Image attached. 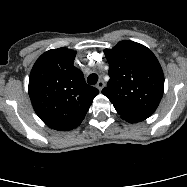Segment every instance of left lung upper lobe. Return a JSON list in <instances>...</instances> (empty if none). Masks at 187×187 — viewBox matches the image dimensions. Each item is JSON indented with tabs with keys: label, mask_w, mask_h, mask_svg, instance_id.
I'll return each mask as SVG.
<instances>
[{
	"label": "left lung upper lobe",
	"mask_w": 187,
	"mask_h": 187,
	"mask_svg": "<svg viewBox=\"0 0 187 187\" xmlns=\"http://www.w3.org/2000/svg\"><path fill=\"white\" fill-rule=\"evenodd\" d=\"M104 54L110 80L102 93L125 121L137 123L150 117L164 92V75L155 55L144 45L126 40Z\"/></svg>",
	"instance_id": "left-lung-upper-lobe-1"
}]
</instances>
